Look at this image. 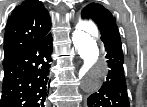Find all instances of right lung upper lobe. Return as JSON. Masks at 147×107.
Instances as JSON below:
<instances>
[{
	"label": "right lung upper lobe",
	"instance_id": "cb5924a9",
	"mask_svg": "<svg viewBox=\"0 0 147 107\" xmlns=\"http://www.w3.org/2000/svg\"><path fill=\"white\" fill-rule=\"evenodd\" d=\"M51 29L49 13L39 0H26L8 18L4 35V61L46 37Z\"/></svg>",
	"mask_w": 147,
	"mask_h": 107
}]
</instances>
